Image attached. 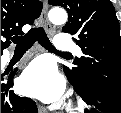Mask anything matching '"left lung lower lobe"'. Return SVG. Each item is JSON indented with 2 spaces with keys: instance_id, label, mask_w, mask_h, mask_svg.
<instances>
[{
  "instance_id": "1",
  "label": "left lung lower lobe",
  "mask_w": 121,
  "mask_h": 113,
  "mask_svg": "<svg viewBox=\"0 0 121 113\" xmlns=\"http://www.w3.org/2000/svg\"><path fill=\"white\" fill-rule=\"evenodd\" d=\"M70 83L89 106L86 113H121V95L105 85L93 81Z\"/></svg>"
}]
</instances>
